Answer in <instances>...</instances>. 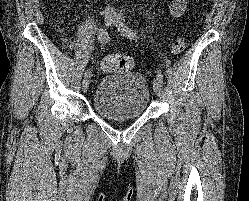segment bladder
I'll use <instances>...</instances> for the list:
<instances>
[{
  "instance_id": "bladder-1",
  "label": "bladder",
  "mask_w": 249,
  "mask_h": 201,
  "mask_svg": "<svg viewBox=\"0 0 249 201\" xmlns=\"http://www.w3.org/2000/svg\"><path fill=\"white\" fill-rule=\"evenodd\" d=\"M149 103V87L140 73L108 74L98 83L92 104L108 120H131L142 116Z\"/></svg>"
}]
</instances>
